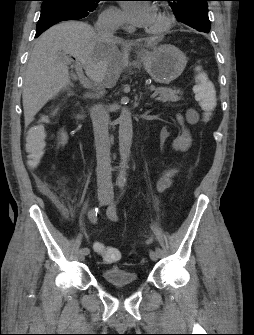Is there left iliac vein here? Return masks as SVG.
Segmentation results:
<instances>
[{
	"label": "left iliac vein",
	"instance_id": "left-iliac-vein-1",
	"mask_svg": "<svg viewBox=\"0 0 254 335\" xmlns=\"http://www.w3.org/2000/svg\"><path fill=\"white\" fill-rule=\"evenodd\" d=\"M149 256H150L151 260H153V261H157L158 258H159V255L153 250H150Z\"/></svg>",
	"mask_w": 254,
	"mask_h": 335
}]
</instances>
